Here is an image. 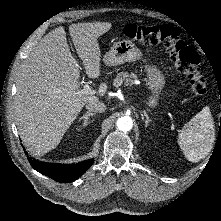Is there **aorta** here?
Listing matches in <instances>:
<instances>
[{
  "label": "aorta",
  "mask_w": 221,
  "mask_h": 221,
  "mask_svg": "<svg viewBox=\"0 0 221 221\" xmlns=\"http://www.w3.org/2000/svg\"><path fill=\"white\" fill-rule=\"evenodd\" d=\"M116 125L120 131L126 132L132 129L133 121L129 116H122L117 120Z\"/></svg>",
  "instance_id": "762f6f07"
}]
</instances>
